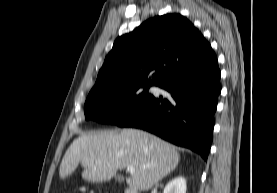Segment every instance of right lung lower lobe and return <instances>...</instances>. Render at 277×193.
<instances>
[{
    "label": "right lung lower lobe",
    "instance_id": "right-lung-lower-lobe-1",
    "mask_svg": "<svg viewBox=\"0 0 277 193\" xmlns=\"http://www.w3.org/2000/svg\"><path fill=\"white\" fill-rule=\"evenodd\" d=\"M170 97H154L117 125L147 130L207 160L213 137L214 113L221 92L220 70L212 51L203 60L164 80Z\"/></svg>",
    "mask_w": 277,
    "mask_h": 193
}]
</instances>
